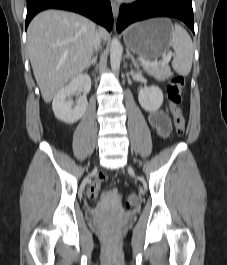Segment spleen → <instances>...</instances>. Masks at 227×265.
<instances>
[{
    "label": "spleen",
    "instance_id": "obj_1",
    "mask_svg": "<svg viewBox=\"0 0 227 265\" xmlns=\"http://www.w3.org/2000/svg\"><path fill=\"white\" fill-rule=\"evenodd\" d=\"M171 45L175 51L172 67L178 74L186 76L190 73L194 48L192 39L187 31L179 24H175Z\"/></svg>",
    "mask_w": 227,
    "mask_h": 265
}]
</instances>
